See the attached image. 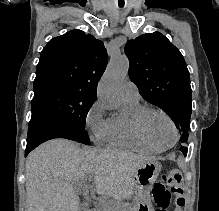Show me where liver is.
Segmentation results:
<instances>
[{
  "mask_svg": "<svg viewBox=\"0 0 219 211\" xmlns=\"http://www.w3.org/2000/svg\"><path fill=\"white\" fill-rule=\"evenodd\" d=\"M152 157L118 149H82L70 139H49L29 153L26 163V211H79L76 179L94 175V185H85L87 211L89 195L113 197L116 201L133 195L136 169ZM84 209V207H82Z\"/></svg>",
  "mask_w": 219,
  "mask_h": 211,
  "instance_id": "liver-1",
  "label": "liver"
}]
</instances>
